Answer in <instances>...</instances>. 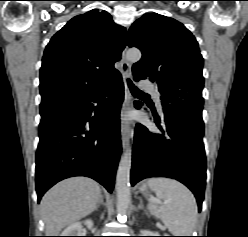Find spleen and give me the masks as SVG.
<instances>
[{"label": "spleen", "instance_id": "3e777b00", "mask_svg": "<svg viewBox=\"0 0 248 237\" xmlns=\"http://www.w3.org/2000/svg\"><path fill=\"white\" fill-rule=\"evenodd\" d=\"M147 185L162 201L161 205L149 203L150 213L159 218L174 236H190L197 217L193 194L183 184L168 178H150Z\"/></svg>", "mask_w": 248, "mask_h": 237}]
</instances>
